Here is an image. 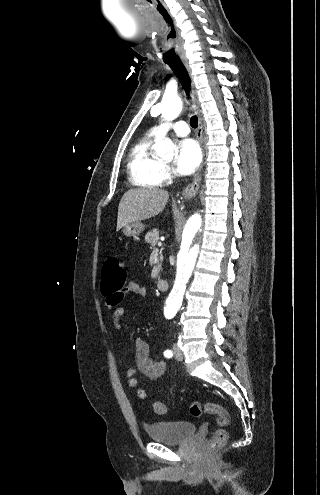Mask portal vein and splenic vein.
Here are the masks:
<instances>
[{
    "label": "portal vein and splenic vein",
    "mask_w": 320,
    "mask_h": 495,
    "mask_svg": "<svg viewBox=\"0 0 320 495\" xmlns=\"http://www.w3.org/2000/svg\"><path fill=\"white\" fill-rule=\"evenodd\" d=\"M161 245H162V244H161V242H159V243H158V246H161ZM155 251H157V249H155Z\"/></svg>",
    "instance_id": "obj_1"
}]
</instances>
